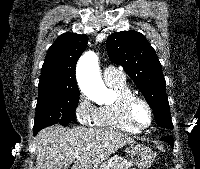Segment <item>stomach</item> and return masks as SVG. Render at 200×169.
Here are the masks:
<instances>
[{
    "label": "stomach",
    "mask_w": 200,
    "mask_h": 169,
    "mask_svg": "<svg viewBox=\"0 0 200 169\" xmlns=\"http://www.w3.org/2000/svg\"><path fill=\"white\" fill-rule=\"evenodd\" d=\"M155 160L153 151L141 144L131 145L129 149V161L139 169H147Z\"/></svg>",
    "instance_id": "1"
}]
</instances>
